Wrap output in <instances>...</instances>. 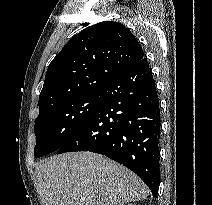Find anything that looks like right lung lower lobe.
I'll list each match as a JSON object with an SVG mask.
<instances>
[{
  "label": "right lung lower lobe",
  "instance_id": "obj_1",
  "mask_svg": "<svg viewBox=\"0 0 212 205\" xmlns=\"http://www.w3.org/2000/svg\"><path fill=\"white\" fill-rule=\"evenodd\" d=\"M100 92V105L56 153L103 154L135 172L157 197L160 106L147 58L123 70Z\"/></svg>",
  "mask_w": 212,
  "mask_h": 205
}]
</instances>
